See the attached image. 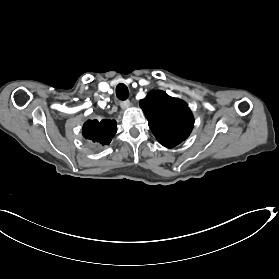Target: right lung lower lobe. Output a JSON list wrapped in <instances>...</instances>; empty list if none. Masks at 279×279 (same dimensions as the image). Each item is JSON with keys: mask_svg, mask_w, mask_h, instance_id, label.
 <instances>
[{"mask_svg": "<svg viewBox=\"0 0 279 279\" xmlns=\"http://www.w3.org/2000/svg\"><path fill=\"white\" fill-rule=\"evenodd\" d=\"M117 131L114 120H88L83 125V136L85 139L108 145Z\"/></svg>", "mask_w": 279, "mask_h": 279, "instance_id": "right-lung-lower-lobe-1", "label": "right lung lower lobe"}]
</instances>
